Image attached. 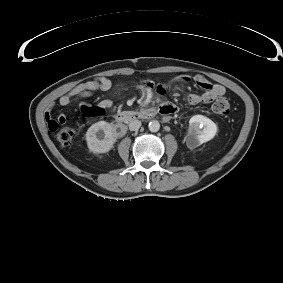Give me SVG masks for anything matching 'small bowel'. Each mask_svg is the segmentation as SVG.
Returning a JSON list of instances; mask_svg holds the SVG:
<instances>
[{"mask_svg": "<svg viewBox=\"0 0 283 283\" xmlns=\"http://www.w3.org/2000/svg\"><path fill=\"white\" fill-rule=\"evenodd\" d=\"M194 81L195 84L200 87L203 92L202 93H190L187 95V101L191 105H198L201 103H209L216 99L217 97L224 96L226 93L225 87L220 84H211L204 76L196 75L194 78L189 76H178L173 82L183 84ZM112 82L106 77H96L90 80H87L83 83H80L69 91L65 92L60 96L58 103L63 106L72 105L74 99H87L91 97L93 94L97 92L108 91L112 88ZM156 87V91L159 94L164 95L168 89V86L165 84L156 85L148 80L144 79L140 83V88L145 92L146 97L151 96V89ZM112 103L110 100H103L99 106H89L88 104H83L81 110L83 114L87 117H95L103 114L105 108H110ZM174 106L170 104L168 101H164L161 104V113L168 114V110L172 113L175 109ZM45 121L47 127L53 131L59 123H64L66 121V115L64 113H59L56 117L50 115V113L45 114Z\"/></svg>", "mask_w": 283, "mask_h": 283, "instance_id": "obj_1", "label": "small bowel"}]
</instances>
